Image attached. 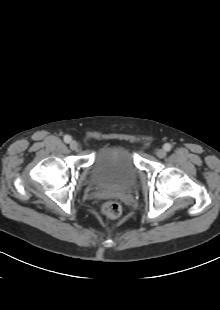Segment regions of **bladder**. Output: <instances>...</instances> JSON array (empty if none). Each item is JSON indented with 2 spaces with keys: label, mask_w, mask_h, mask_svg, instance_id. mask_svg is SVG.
Listing matches in <instances>:
<instances>
[{
  "label": "bladder",
  "mask_w": 220,
  "mask_h": 310,
  "mask_svg": "<svg viewBox=\"0 0 220 310\" xmlns=\"http://www.w3.org/2000/svg\"><path fill=\"white\" fill-rule=\"evenodd\" d=\"M91 177L94 184L102 189L125 191L136 183L138 171L128 150L106 146L94 155Z\"/></svg>",
  "instance_id": "obj_1"
}]
</instances>
